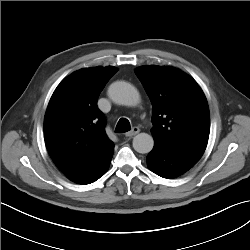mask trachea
<instances>
[{"instance_id": "1", "label": "trachea", "mask_w": 250, "mask_h": 250, "mask_svg": "<svg viewBox=\"0 0 250 250\" xmlns=\"http://www.w3.org/2000/svg\"><path fill=\"white\" fill-rule=\"evenodd\" d=\"M131 129L130 122L126 118H121L116 126V133H125Z\"/></svg>"}]
</instances>
